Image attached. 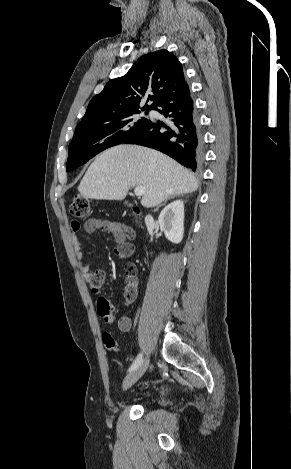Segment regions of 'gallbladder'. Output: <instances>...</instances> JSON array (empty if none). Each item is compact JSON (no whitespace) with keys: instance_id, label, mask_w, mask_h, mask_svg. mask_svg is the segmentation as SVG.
Returning <instances> with one entry per match:
<instances>
[{"instance_id":"1","label":"gallbladder","mask_w":291,"mask_h":469,"mask_svg":"<svg viewBox=\"0 0 291 469\" xmlns=\"http://www.w3.org/2000/svg\"><path fill=\"white\" fill-rule=\"evenodd\" d=\"M127 206H130V204L126 203Z\"/></svg>"}]
</instances>
